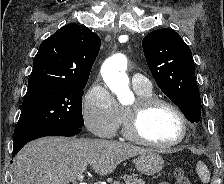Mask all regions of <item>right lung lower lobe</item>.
<instances>
[{
  "label": "right lung lower lobe",
  "mask_w": 224,
  "mask_h": 184,
  "mask_svg": "<svg viewBox=\"0 0 224 184\" xmlns=\"http://www.w3.org/2000/svg\"><path fill=\"white\" fill-rule=\"evenodd\" d=\"M81 132L80 128H67V127H49L37 129L23 134L20 138L14 141L13 156L28 142L44 137V136H73Z\"/></svg>",
  "instance_id": "1"
}]
</instances>
